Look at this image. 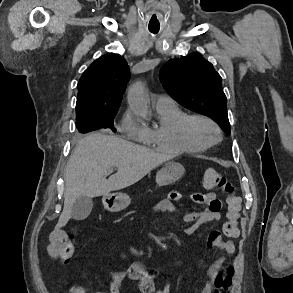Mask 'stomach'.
Instances as JSON below:
<instances>
[{"instance_id":"stomach-1","label":"stomach","mask_w":293,"mask_h":293,"mask_svg":"<svg viewBox=\"0 0 293 293\" xmlns=\"http://www.w3.org/2000/svg\"><path fill=\"white\" fill-rule=\"evenodd\" d=\"M184 167L177 162L166 163L156 175V183L158 186H167L175 183L184 174ZM131 199L125 193H112L103 198L104 207L112 212H117L129 206Z\"/></svg>"}]
</instances>
